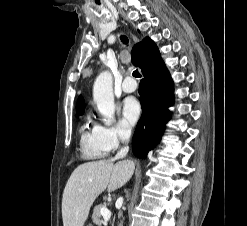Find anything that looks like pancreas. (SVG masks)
<instances>
[{"label": "pancreas", "instance_id": "cf45deb5", "mask_svg": "<svg viewBox=\"0 0 247 226\" xmlns=\"http://www.w3.org/2000/svg\"><path fill=\"white\" fill-rule=\"evenodd\" d=\"M106 208V204H100L95 206L92 214V220L95 224L98 226H101L102 220H101V209Z\"/></svg>", "mask_w": 247, "mask_h": 226}]
</instances>
